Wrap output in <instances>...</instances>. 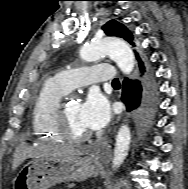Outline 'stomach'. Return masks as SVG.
<instances>
[{
	"instance_id": "obj_1",
	"label": "stomach",
	"mask_w": 188,
	"mask_h": 189,
	"mask_svg": "<svg viewBox=\"0 0 188 189\" xmlns=\"http://www.w3.org/2000/svg\"><path fill=\"white\" fill-rule=\"evenodd\" d=\"M100 164L94 154L85 157L36 158L17 174L13 189H49L58 182L83 181L96 177Z\"/></svg>"
}]
</instances>
